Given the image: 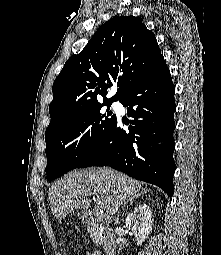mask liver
Here are the masks:
<instances>
[{
  "mask_svg": "<svg viewBox=\"0 0 221 255\" xmlns=\"http://www.w3.org/2000/svg\"><path fill=\"white\" fill-rule=\"evenodd\" d=\"M140 182L108 167L74 170L49 188L52 214L59 219L78 209H87L90 196L103 204L106 214H115L120 205L140 194Z\"/></svg>",
  "mask_w": 221,
  "mask_h": 255,
  "instance_id": "liver-1",
  "label": "liver"
}]
</instances>
